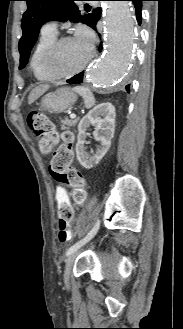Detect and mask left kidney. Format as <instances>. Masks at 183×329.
<instances>
[{
	"instance_id": "obj_1",
	"label": "left kidney",
	"mask_w": 183,
	"mask_h": 329,
	"mask_svg": "<svg viewBox=\"0 0 183 329\" xmlns=\"http://www.w3.org/2000/svg\"><path fill=\"white\" fill-rule=\"evenodd\" d=\"M115 116V107L111 103H101L81 119L75 150L77 159L84 168L91 169L98 164L110 148L115 132ZM90 125L95 126L93 135L95 140L100 142V146L93 155H89L84 149L86 130Z\"/></svg>"
}]
</instances>
